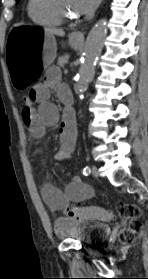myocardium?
Instances as JSON below:
<instances>
[{
    "instance_id": "f54148a6",
    "label": "myocardium",
    "mask_w": 148,
    "mask_h": 279,
    "mask_svg": "<svg viewBox=\"0 0 148 279\" xmlns=\"http://www.w3.org/2000/svg\"><path fill=\"white\" fill-rule=\"evenodd\" d=\"M48 3L54 14L62 21H74L77 19L76 15H72L64 9L61 0H48Z\"/></svg>"
}]
</instances>
